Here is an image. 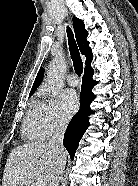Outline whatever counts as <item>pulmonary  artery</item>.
Masks as SVG:
<instances>
[{
  "label": "pulmonary artery",
  "mask_w": 138,
  "mask_h": 186,
  "mask_svg": "<svg viewBox=\"0 0 138 186\" xmlns=\"http://www.w3.org/2000/svg\"><path fill=\"white\" fill-rule=\"evenodd\" d=\"M67 82L70 86H73V87L78 86L79 84L78 77L75 74H70L67 77Z\"/></svg>",
  "instance_id": "pulmonary-artery-1"
}]
</instances>
